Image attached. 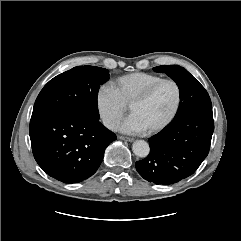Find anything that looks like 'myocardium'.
Returning <instances> with one entry per match:
<instances>
[{
  "instance_id": "f54148a6",
  "label": "myocardium",
  "mask_w": 241,
  "mask_h": 241,
  "mask_svg": "<svg viewBox=\"0 0 241 241\" xmlns=\"http://www.w3.org/2000/svg\"><path fill=\"white\" fill-rule=\"evenodd\" d=\"M165 83H170L172 84L175 89H176V93H177V98H176V103L175 106L172 110V112L170 113V115L159 125L148 129V132L151 134L154 133H158L160 131H162L163 129H165L167 126H169L173 120L176 118L181 104H182V88L180 86V84L171 78H162L161 80L155 82L154 84H152L151 86H149L144 92H142L138 97H136L131 104L129 105L130 111L134 106L140 105L145 103L146 101H148L150 99V97L154 94V92L162 85Z\"/></svg>"
}]
</instances>
